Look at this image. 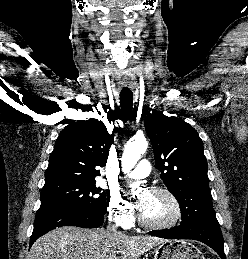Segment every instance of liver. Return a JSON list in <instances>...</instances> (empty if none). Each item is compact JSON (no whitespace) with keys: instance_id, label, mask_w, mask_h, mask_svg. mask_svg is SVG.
I'll list each match as a JSON object with an SVG mask.
<instances>
[{"instance_id":"1","label":"liver","mask_w":248,"mask_h":259,"mask_svg":"<svg viewBox=\"0 0 248 259\" xmlns=\"http://www.w3.org/2000/svg\"><path fill=\"white\" fill-rule=\"evenodd\" d=\"M166 241L155 236L64 226L37 239L28 259H138Z\"/></svg>"}]
</instances>
